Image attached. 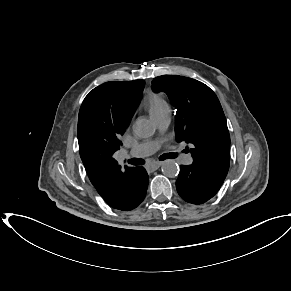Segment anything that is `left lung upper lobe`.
Segmentation results:
<instances>
[{"label":"left lung upper lobe","mask_w":291,"mask_h":291,"mask_svg":"<svg viewBox=\"0 0 291 291\" xmlns=\"http://www.w3.org/2000/svg\"><path fill=\"white\" fill-rule=\"evenodd\" d=\"M152 87L165 92L177 108L176 140L192 146L189 151L193 164L225 179L230 163V136L216 94L200 81L177 75L156 77Z\"/></svg>","instance_id":"1"}]
</instances>
